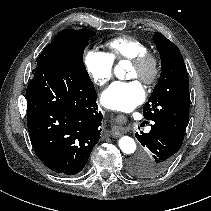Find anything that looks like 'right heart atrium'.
Segmentation results:
<instances>
[{
  "mask_svg": "<svg viewBox=\"0 0 211 211\" xmlns=\"http://www.w3.org/2000/svg\"><path fill=\"white\" fill-rule=\"evenodd\" d=\"M84 64L91 80L97 86L102 87L111 80L113 61L107 53L89 49L84 54Z\"/></svg>",
  "mask_w": 211,
  "mask_h": 211,
  "instance_id": "d8ad5b80",
  "label": "right heart atrium"
}]
</instances>
